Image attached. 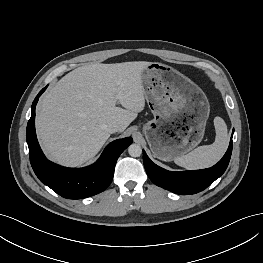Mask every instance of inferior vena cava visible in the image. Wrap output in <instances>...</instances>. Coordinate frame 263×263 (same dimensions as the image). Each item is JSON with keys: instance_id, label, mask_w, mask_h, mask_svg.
<instances>
[{"instance_id": "inferior-vena-cava-1", "label": "inferior vena cava", "mask_w": 263, "mask_h": 263, "mask_svg": "<svg viewBox=\"0 0 263 263\" xmlns=\"http://www.w3.org/2000/svg\"><path fill=\"white\" fill-rule=\"evenodd\" d=\"M105 129L109 132V133H115L117 131L120 130V125L116 122H112L109 123L105 126Z\"/></svg>"}]
</instances>
